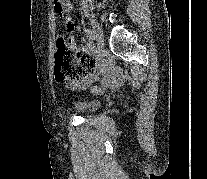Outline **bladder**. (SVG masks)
<instances>
[{
    "mask_svg": "<svg viewBox=\"0 0 207 179\" xmlns=\"http://www.w3.org/2000/svg\"><path fill=\"white\" fill-rule=\"evenodd\" d=\"M99 108V102L93 98L81 97L75 100L71 106V111L80 114H86L96 111Z\"/></svg>",
    "mask_w": 207,
    "mask_h": 179,
    "instance_id": "31cf9c89",
    "label": "bladder"
}]
</instances>
